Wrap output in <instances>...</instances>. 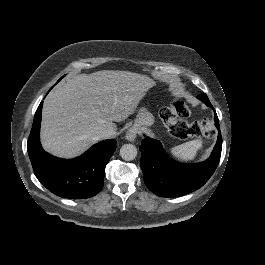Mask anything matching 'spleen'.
Returning <instances> with one entry per match:
<instances>
[{"mask_svg": "<svg viewBox=\"0 0 265 265\" xmlns=\"http://www.w3.org/2000/svg\"><path fill=\"white\" fill-rule=\"evenodd\" d=\"M202 145L203 141L201 139L192 140L171 148V153L180 160H193Z\"/></svg>", "mask_w": 265, "mask_h": 265, "instance_id": "obj_1", "label": "spleen"}]
</instances>
